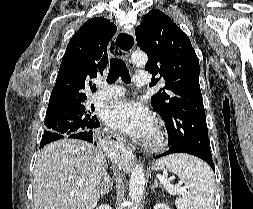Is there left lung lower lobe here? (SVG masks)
<instances>
[{
  "mask_svg": "<svg viewBox=\"0 0 253 209\" xmlns=\"http://www.w3.org/2000/svg\"><path fill=\"white\" fill-rule=\"evenodd\" d=\"M173 153H187V154L197 156V157L201 158L202 160L206 161L215 172L214 163L212 161L211 154L209 155V154L200 153V152L193 151V150H177V149L170 148L168 151H166L160 155L154 156V159H157V158L169 155V154H173Z\"/></svg>",
  "mask_w": 253,
  "mask_h": 209,
  "instance_id": "obj_1",
  "label": "left lung lower lobe"
}]
</instances>
